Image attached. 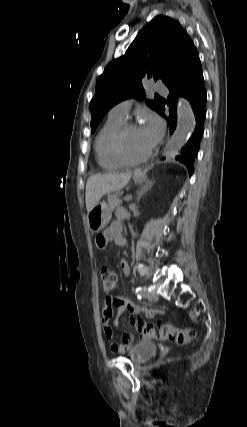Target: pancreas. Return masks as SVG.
<instances>
[{
    "label": "pancreas",
    "instance_id": "obj_1",
    "mask_svg": "<svg viewBox=\"0 0 247 427\" xmlns=\"http://www.w3.org/2000/svg\"><path fill=\"white\" fill-rule=\"evenodd\" d=\"M121 203L122 201L118 195L108 196V204H109L110 210H114L115 208L119 207Z\"/></svg>",
    "mask_w": 247,
    "mask_h": 427
}]
</instances>
